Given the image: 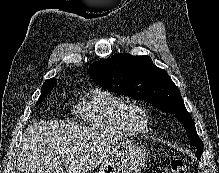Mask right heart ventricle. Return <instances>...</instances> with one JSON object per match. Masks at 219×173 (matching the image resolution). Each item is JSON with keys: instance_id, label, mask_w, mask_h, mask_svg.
<instances>
[{"instance_id": "right-heart-ventricle-1", "label": "right heart ventricle", "mask_w": 219, "mask_h": 173, "mask_svg": "<svg viewBox=\"0 0 219 173\" xmlns=\"http://www.w3.org/2000/svg\"><path fill=\"white\" fill-rule=\"evenodd\" d=\"M127 102L104 88H93L75 106L76 116L86 125L123 136H136L139 133L125 118Z\"/></svg>"}]
</instances>
